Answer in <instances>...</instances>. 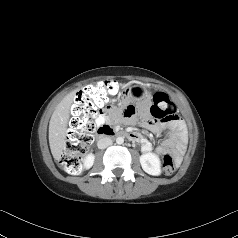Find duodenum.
I'll return each instance as SVG.
<instances>
[{"instance_id": "1", "label": "duodenum", "mask_w": 238, "mask_h": 238, "mask_svg": "<svg viewBox=\"0 0 238 238\" xmlns=\"http://www.w3.org/2000/svg\"><path fill=\"white\" fill-rule=\"evenodd\" d=\"M97 133L100 138L118 136V137H126L132 141H136V142L138 141V136L135 133H129L125 131H115L114 129H112L111 127L107 125L100 126L98 128Z\"/></svg>"}]
</instances>
